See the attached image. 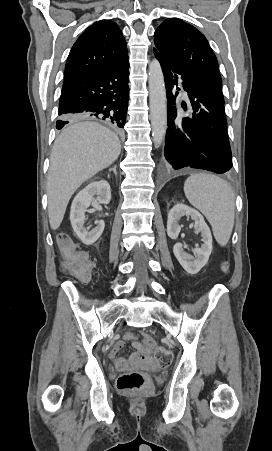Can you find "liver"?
Returning <instances> with one entry per match:
<instances>
[{
  "label": "liver",
  "instance_id": "1",
  "mask_svg": "<svg viewBox=\"0 0 272 451\" xmlns=\"http://www.w3.org/2000/svg\"><path fill=\"white\" fill-rule=\"evenodd\" d=\"M75 116L56 138L47 178L48 216L52 229L60 226L68 202L83 182L117 160L121 144L117 134Z\"/></svg>",
  "mask_w": 272,
  "mask_h": 451
}]
</instances>
